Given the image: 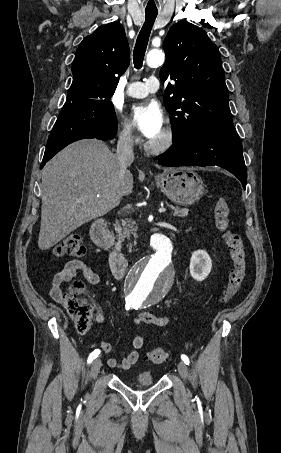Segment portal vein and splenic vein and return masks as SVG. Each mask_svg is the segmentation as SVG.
<instances>
[{
	"label": "portal vein and splenic vein",
	"instance_id": "18ae733b",
	"mask_svg": "<svg viewBox=\"0 0 281 453\" xmlns=\"http://www.w3.org/2000/svg\"><path fill=\"white\" fill-rule=\"evenodd\" d=\"M159 209H160V211L158 212L159 214H161L162 212H166V208H161L160 207Z\"/></svg>",
	"mask_w": 281,
	"mask_h": 453
}]
</instances>
